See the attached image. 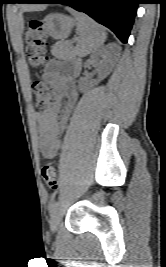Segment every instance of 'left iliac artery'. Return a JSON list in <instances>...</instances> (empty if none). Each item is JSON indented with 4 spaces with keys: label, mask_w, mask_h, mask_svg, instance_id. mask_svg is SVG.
<instances>
[{
    "label": "left iliac artery",
    "mask_w": 166,
    "mask_h": 267,
    "mask_svg": "<svg viewBox=\"0 0 166 267\" xmlns=\"http://www.w3.org/2000/svg\"><path fill=\"white\" fill-rule=\"evenodd\" d=\"M59 207V202H54L50 207V213L54 214Z\"/></svg>",
    "instance_id": "left-iliac-artery-1"
}]
</instances>
